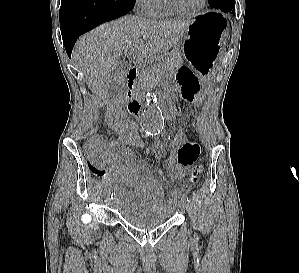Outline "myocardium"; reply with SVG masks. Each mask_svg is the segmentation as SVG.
I'll use <instances>...</instances> for the list:
<instances>
[{
	"label": "myocardium",
	"mask_w": 299,
	"mask_h": 273,
	"mask_svg": "<svg viewBox=\"0 0 299 273\" xmlns=\"http://www.w3.org/2000/svg\"><path fill=\"white\" fill-rule=\"evenodd\" d=\"M166 7L174 14L185 16V17H195L198 16L206 7L207 0H201L200 5L193 11H185L177 7L173 0H164Z\"/></svg>",
	"instance_id": "myocardium-1"
}]
</instances>
